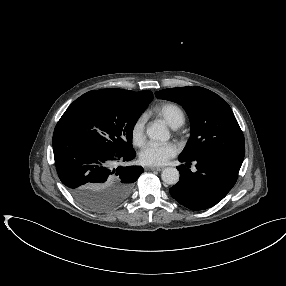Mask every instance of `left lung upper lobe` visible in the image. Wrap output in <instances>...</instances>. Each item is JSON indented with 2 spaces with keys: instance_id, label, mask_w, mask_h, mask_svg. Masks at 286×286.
<instances>
[{
  "instance_id": "obj_1",
  "label": "left lung upper lobe",
  "mask_w": 286,
  "mask_h": 286,
  "mask_svg": "<svg viewBox=\"0 0 286 286\" xmlns=\"http://www.w3.org/2000/svg\"><path fill=\"white\" fill-rule=\"evenodd\" d=\"M183 106L191 123V138L181 157L188 160L205 154H222L243 160L244 136L225 100L202 87H179L155 92Z\"/></svg>"
}]
</instances>
